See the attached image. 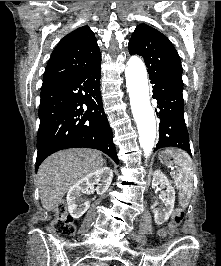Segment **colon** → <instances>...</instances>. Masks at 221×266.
<instances>
[{"label": "colon", "mask_w": 221, "mask_h": 266, "mask_svg": "<svg viewBox=\"0 0 221 266\" xmlns=\"http://www.w3.org/2000/svg\"><path fill=\"white\" fill-rule=\"evenodd\" d=\"M184 212L177 208L174 210L168 229H161L160 236L164 237L168 233H174L182 223ZM53 230L58 235H71L75 231V225L72 217L67 213L65 203H60L57 207L56 217L53 221Z\"/></svg>", "instance_id": "1"}]
</instances>
